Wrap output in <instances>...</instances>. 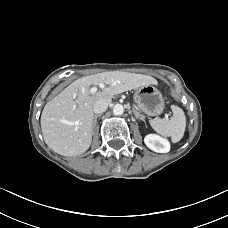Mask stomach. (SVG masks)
<instances>
[{"mask_svg":"<svg viewBox=\"0 0 228 228\" xmlns=\"http://www.w3.org/2000/svg\"><path fill=\"white\" fill-rule=\"evenodd\" d=\"M138 108L148 116L160 115L165 107L161 92L152 84L141 86L134 95Z\"/></svg>","mask_w":228,"mask_h":228,"instance_id":"0dacf381","label":"stomach"}]
</instances>
